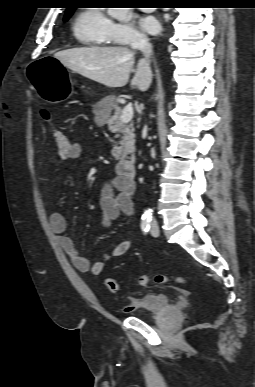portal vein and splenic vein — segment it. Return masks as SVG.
Returning a JSON list of instances; mask_svg holds the SVG:
<instances>
[{
	"label": "portal vein and splenic vein",
	"mask_w": 255,
	"mask_h": 387,
	"mask_svg": "<svg viewBox=\"0 0 255 387\" xmlns=\"http://www.w3.org/2000/svg\"><path fill=\"white\" fill-rule=\"evenodd\" d=\"M132 118H133V106L132 104H128L122 110L120 121L122 123H128L132 120Z\"/></svg>",
	"instance_id": "18ae733b"
}]
</instances>
